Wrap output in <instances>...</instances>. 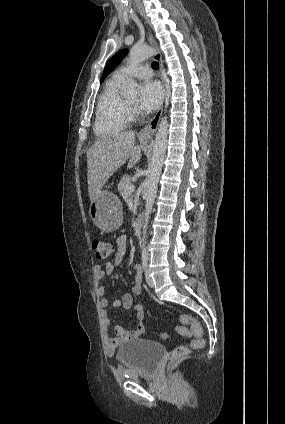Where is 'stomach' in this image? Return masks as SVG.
Masks as SVG:
<instances>
[{"mask_svg":"<svg viewBox=\"0 0 285 424\" xmlns=\"http://www.w3.org/2000/svg\"><path fill=\"white\" fill-rule=\"evenodd\" d=\"M93 223L104 232L118 229L123 220L120 199L108 190H102L89 206Z\"/></svg>","mask_w":285,"mask_h":424,"instance_id":"0dacf381","label":"stomach"}]
</instances>
